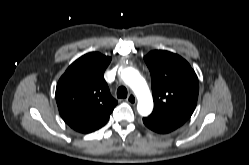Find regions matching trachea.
Returning a JSON list of instances; mask_svg holds the SVG:
<instances>
[{"label":"trachea","mask_w":249,"mask_h":165,"mask_svg":"<svg viewBox=\"0 0 249 165\" xmlns=\"http://www.w3.org/2000/svg\"><path fill=\"white\" fill-rule=\"evenodd\" d=\"M117 97L118 98H126L127 97V89L124 86H120L117 89Z\"/></svg>","instance_id":"trachea-1"}]
</instances>
